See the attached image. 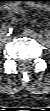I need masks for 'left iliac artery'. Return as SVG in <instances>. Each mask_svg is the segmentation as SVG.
Returning <instances> with one entry per match:
<instances>
[{"mask_svg": "<svg viewBox=\"0 0 50 111\" xmlns=\"http://www.w3.org/2000/svg\"><path fill=\"white\" fill-rule=\"evenodd\" d=\"M40 38H41V40H43V37H42V35H40Z\"/></svg>", "mask_w": 50, "mask_h": 111, "instance_id": "44dca946", "label": "left iliac artery"}]
</instances>
